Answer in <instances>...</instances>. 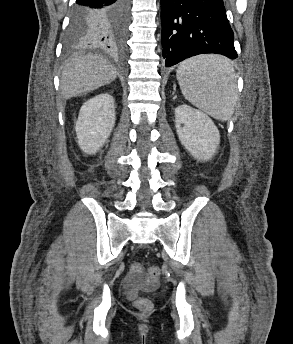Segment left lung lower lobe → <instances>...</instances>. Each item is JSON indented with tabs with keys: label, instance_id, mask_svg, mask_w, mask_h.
Wrapping results in <instances>:
<instances>
[{
	"label": "left lung lower lobe",
	"instance_id": "left-lung-lower-lobe-1",
	"mask_svg": "<svg viewBox=\"0 0 293 344\" xmlns=\"http://www.w3.org/2000/svg\"><path fill=\"white\" fill-rule=\"evenodd\" d=\"M166 67L203 54L237 58L223 0H161Z\"/></svg>",
	"mask_w": 293,
	"mask_h": 344
}]
</instances>
